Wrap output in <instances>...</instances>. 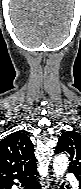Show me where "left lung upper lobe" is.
I'll return each mask as SVG.
<instances>
[{
  "instance_id": "obj_1",
  "label": "left lung upper lobe",
  "mask_w": 81,
  "mask_h": 189,
  "mask_svg": "<svg viewBox=\"0 0 81 189\" xmlns=\"http://www.w3.org/2000/svg\"><path fill=\"white\" fill-rule=\"evenodd\" d=\"M66 153L70 157L68 171L81 181V134L75 131L63 132L59 138L55 153Z\"/></svg>"
}]
</instances>
